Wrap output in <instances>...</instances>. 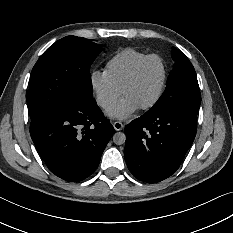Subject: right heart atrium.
<instances>
[{"mask_svg":"<svg viewBox=\"0 0 233 233\" xmlns=\"http://www.w3.org/2000/svg\"><path fill=\"white\" fill-rule=\"evenodd\" d=\"M90 86L96 103L102 109H110L121 97V90L117 88L104 72L93 70L90 74Z\"/></svg>","mask_w":233,"mask_h":233,"instance_id":"right-heart-atrium-1","label":"right heart atrium"}]
</instances>
